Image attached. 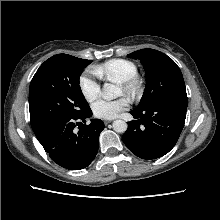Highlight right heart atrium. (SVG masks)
<instances>
[{"label":"right heart atrium","instance_id":"d8ad5b80","mask_svg":"<svg viewBox=\"0 0 220 220\" xmlns=\"http://www.w3.org/2000/svg\"><path fill=\"white\" fill-rule=\"evenodd\" d=\"M95 75L96 74L92 69L91 71L84 73L79 79L80 91L85 100L88 102H92L100 94L101 87L99 82L93 77Z\"/></svg>","mask_w":220,"mask_h":220}]
</instances>
